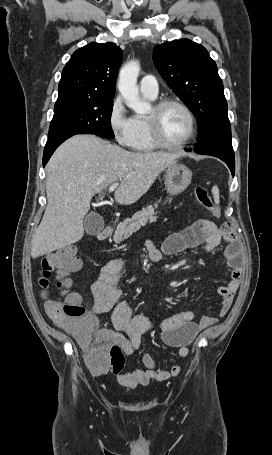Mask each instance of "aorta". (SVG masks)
I'll list each match as a JSON object with an SVG mask.
<instances>
[{"mask_svg":"<svg viewBox=\"0 0 272 455\" xmlns=\"http://www.w3.org/2000/svg\"><path fill=\"white\" fill-rule=\"evenodd\" d=\"M139 72V61L132 60L126 63L119 73L118 89L130 109L137 114H145L149 112L150 106L139 97L137 86Z\"/></svg>","mask_w":272,"mask_h":455,"instance_id":"762f6f07","label":"aorta"}]
</instances>
